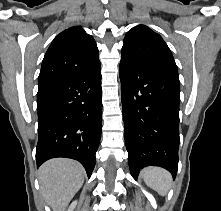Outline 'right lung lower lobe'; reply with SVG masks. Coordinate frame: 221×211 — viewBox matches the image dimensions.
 Wrapping results in <instances>:
<instances>
[{"mask_svg":"<svg viewBox=\"0 0 221 211\" xmlns=\"http://www.w3.org/2000/svg\"><path fill=\"white\" fill-rule=\"evenodd\" d=\"M101 68L39 86L37 93V167L55 157L95 166L102 128Z\"/></svg>","mask_w":221,"mask_h":211,"instance_id":"1","label":"right lung lower lobe"}]
</instances>
